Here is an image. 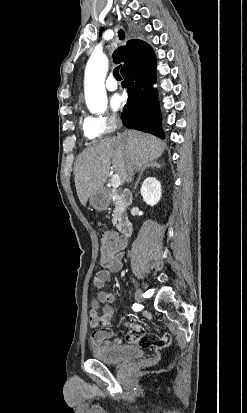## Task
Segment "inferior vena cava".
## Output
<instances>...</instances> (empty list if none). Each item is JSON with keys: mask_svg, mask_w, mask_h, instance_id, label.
I'll return each mask as SVG.
<instances>
[{"mask_svg": "<svg viewBox=\"0 0 247 413\" xmlns=\"http://www.w3.org/2000/svg\"><path fill=\"white\" fill-rule=\"evenodd\" d=\"M119 136H121V134H119ZM133 176H134V166L133 164H131V162H129L128 176H127L128 182H131V180H133Z\"/></svg>", "mask_w": 247, "mask_h": 413, "instance_id": "obj_1", "label": "inferior vena cava"}]
</instances>
